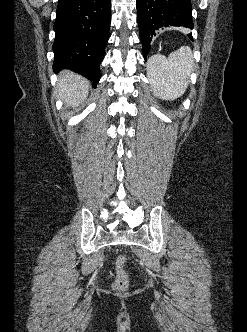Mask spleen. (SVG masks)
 Wrapping results in <instances>:
<instances>
[{
	"label": "spleen",
	"mask_w": 247,
	"mask_h": 332,
	"mask_svg": "<svg viewBox=\"0 0 247 332\" xmlns=\"http://www.w3.org/2000/svg\"><path fill=\"white\" fill-rule=\"evenodd\" d=\"M193 54L190 47H181L169 54L153 56L147 64V73L155 96L163 100L181 97L193 72Z\"/></svg>",
	"instance_id": "1"
}]
</instances>
